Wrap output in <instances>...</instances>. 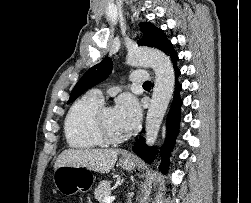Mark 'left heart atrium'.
Segmentation results:
<instances>
[{"instance_id": "left-heart-atrium-1", "label": "left heart atrium", "mask_w": 251, "mask_h": 203, "mask_svg": "<svg viewBox=\"0 0 251 203\" xmlns=\"http://www.w3.org/2000/svg\"><path fill=\"white\" fill-rule=\"evenodd\" d=\"M118 125L125 132L134 130L141 120L138 100L131 94L119 96L114 108Z\"/></svg>"}]
</instances>
